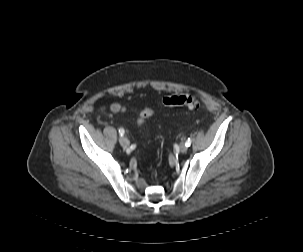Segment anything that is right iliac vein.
<instances>
[{"mask_svg": "<svg viewBox=\"0 0 303 252\" xmlns=\"http://www.w3.org/2000/svg\"><path fill=\"white\" fill-rule=\"evenodd\" d=\"M120 144L123 148H127L130 145L129 140L126 137H120Z\"/></svg>", "mask_w": 303, "mask_h": 252, "instance_id": "right-iliac-vein-1", "label": "right iliac vein"}]
</instances>
